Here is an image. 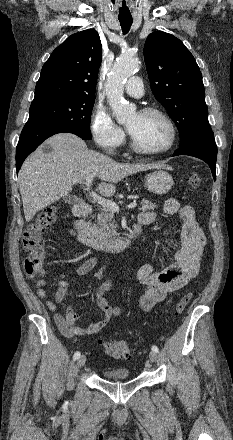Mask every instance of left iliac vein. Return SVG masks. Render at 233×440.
<instances>
[{
    "instance_id": "1",
    "label": "left iliac vein",
    "mask_w": 233,
    "mask_h": 440,
    "mask_svg": "<svg viewBox=\"0 0 233 440\" xmlns=\"http://www.w3.org/2000/svg\"><path fill=\"white\" fill-rule=\"evenodd\" d=\"M149 358H150V360H151L152 362H157V360H158V355H157L156 352L151 351V352L149 353Z\"/></svg>"
}]
</instances>
